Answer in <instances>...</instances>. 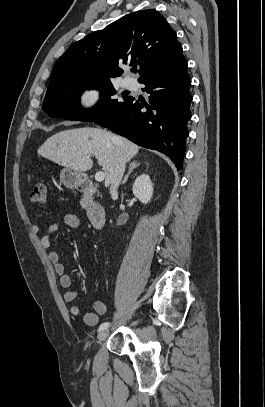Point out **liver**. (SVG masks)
I'll use <instances>...</instances> for the list:
<instances>
[{"mask_svg": "<svg viewBox=\"0 0 265 407\" xmlns=\"http://www.w3.org/2000/svg\"><path fill=\"white\" fill-rule=\"evenodd\" d=\"M115 136L118 140L112 141ZM120 149L125 161H130L139 151V146L128 139L93 127L61 131L49 137L38 149L42 157L77 172H86L92 167L91 156L105 174V186L110 184L115 163L116 149Z\"/></svg>", "mask_w": 265, "mask_h": 407, "instance_id": "6515ba94", "label": "liver"}]
</instances>
